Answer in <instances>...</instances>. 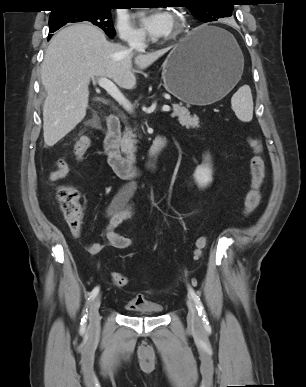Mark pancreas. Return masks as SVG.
Returning <instances> with one entry per match:
<instances>
[{
	"mask_svg": "<svg viewBox=\"0 0 306 387\" xmlns=\"http://www.w3.org/2000/svg\"><path fill=\"white\" fill-rule=\"evenodd\" d=\"M173 106V117H177L178 122L189 128H199V118L197 116H191L189 110L186 107H183L181 104H172ZM129 126L126 127L124 135L120 140L121 150L125 154H132L136 151L134 144L136 140L134 139L136 135L133 133Z\"/></svg>",
	"mask_w": 306,
	"mask_h": 387,
	"instance_id": "obj_1",
	"label": "pancreas"
}]
</instances>
